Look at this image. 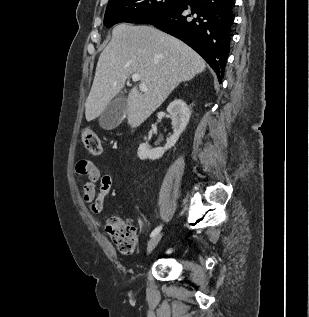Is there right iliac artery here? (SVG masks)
Returning a JSON list of instances; mask_svg holds the SVG:
<instances>
[{"label": "right iliac artery", "instance_id": "1", "mask_svg": "<svg viewBox=\"0 0 309 317\" xmlns=\"http://www.w3.org/2000/svg\"><path fill=\"white\" fill-rule=\"evenodd\" d=\"M162 229V225L158 226L157 228H155L151 234H150V237H154L155 235H157Z\"/></svg>", "mask_w": 309, "mask_h": 317}]
</instances>
